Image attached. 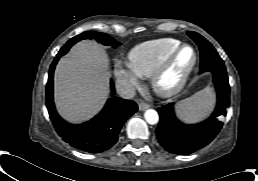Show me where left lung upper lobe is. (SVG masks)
Instances as JSON below:
<instances>
[{
	"label": "left lung upper lobe",
	"instance_id": "1",
	"mask_svg": "<svg viewBox=\"0 0 258 181\" xmlns=\"http://www.w3.org/2000/svg\"><path fill=\"white\" fill-rule=\"evenodd\" d=\"M199 47L200 70L205 71H226L223 60L220 58L214 47L204 37L196 32H187Z\"/></svg>",
	"mask_w": 258,
	"mask_h": 181
}]
</instances>
